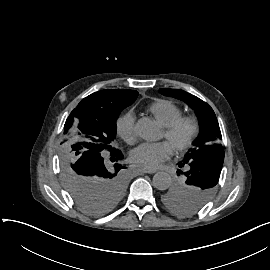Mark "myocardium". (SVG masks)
<instances>
[{"mask_svg":"<svg viewBox=\"0 0 270 270\" xmlns=\"http://www.w3.org/2000/svg\"><path fill=\"white\" fill-rule=\"evenodd\" d=\"M189 125V132L185 140L179 138L178 132L182 125ZM198 129L197 121L192 116H183L176 120L170 127L166 128V134L179 148L188 147L194 141Z\"/></svg>","mask_w":270,"mask_h":270,"instance_id":"obj_1","label":"myocardium"}]
</instances>
